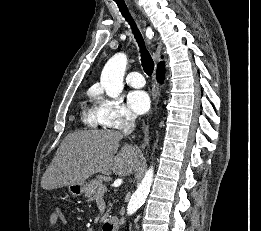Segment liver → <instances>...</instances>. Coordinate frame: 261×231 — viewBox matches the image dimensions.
<instances>
[{
    "instance_id": "liver-1",
    "label": "liver",
    "mask_w": 261,
    "mask_h": 231,
    "mask_svg": "<svg viewBox=\"0 0 261 231\" xmlns=\"http://www.w3.org/2000/svg\"><path fill=\"white\" fill-rule=\"evenodd\" d=\"M123 135L115 130L74 132L65 137L46 169L41 187L52 190L82 184L95 173L124 177L137 169L143 156L132 145L118 152Z\"/></svg>"
}]
</instances>
